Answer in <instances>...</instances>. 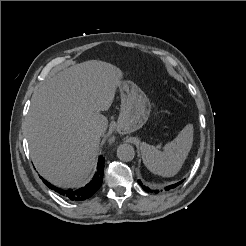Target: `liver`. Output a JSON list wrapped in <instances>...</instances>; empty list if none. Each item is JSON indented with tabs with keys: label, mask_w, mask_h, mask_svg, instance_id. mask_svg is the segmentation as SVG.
<instances>
[{
	"label": "liver",
	"mask_w": 246,
	"mask_h": 246,
	"mask_svg": "<svg viewBox=\"0 0 246 246\" xmlns=\"http://www.w3.org/2000/svg\"><path fill=\"white\" fill-rule=\"evenodd\" d=\"M122 71L112 64L86 61L48 79L33 94L25 131L33 163L52 184L79 187L92 172L100 144L94 133L108 126Z\"/></svg>",
	"instance_id": "6515ba94"
}]
</instances>
